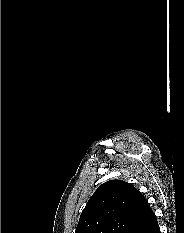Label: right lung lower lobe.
<instances>
[{"mask_svg":"<svg viewBox=\"0 0 184 233\" xmlns=\"http://www.w3.org/2000/svg\"><path fill=\"white\" fill-rule=\"evenodd\" d=\"M132 233H160L155 214L152 213L141 225L133 230Z\"/></svg>","mask_w":184,"mask_h":233,"instance_id":"98d812e1","label":"right lung lower lobe"}]
</instances>
